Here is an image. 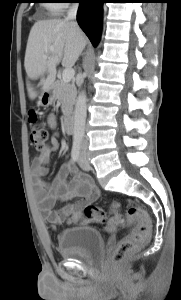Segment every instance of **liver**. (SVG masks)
Masks as SVG:
<instances>
[{"instance_id": "1", "label": "liver", "mask_w": 181, "mask_h": 300, "mask_svg": "<svg viewBox=\"0 0 181 300\" xmlns=\"http://www.w3.org/2000/svg\"><path fill=\"white\" fill-rule=\"evenodd\" d=\"M86 37L75 22L60 19L37 21L31 28L24 66L28 79H41V91L50 90L55 82L56 67L62 65L71 68L78 60L86 45ZM54 49V53L50 50ZM48 57L45 58L44 56ZM47 77L44 78V75ZM28 94L31 100L38 96V92L27 81Z\"/></svg>"}]
</instances>
